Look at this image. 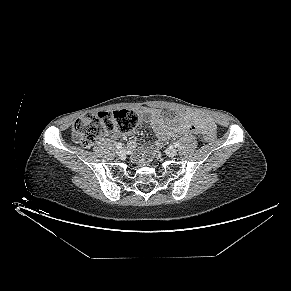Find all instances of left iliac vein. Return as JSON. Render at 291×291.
<instances>
[{
	"label": "left iliac vein",
	"mask_w": 291,
	"mask_h": 291,
	"mask_svg": "<svg viewBox=\"0 0 291 291\" xmlns=\"http://www.w3.org/2000/svg\"><path fill=\"white\" fill-rule=\"evenodd\" d=\"M166 154L169 156V157H174L177 155V150L173 147H169L166 149Z\"/></svg>",
	"instance_id": "4c4485c4"
}]
</instances>
